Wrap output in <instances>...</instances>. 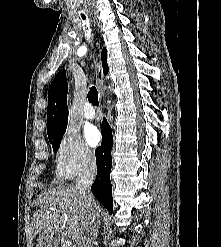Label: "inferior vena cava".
<instances>
[{"label":"inferior vena cava","instance_id":"1","mask_svg":"<svg viewBox=\"0 0 221 247\" xmlns=\"http://www.w3.org/2000/svg\"><path fill=\"white\" fill-rule=\"evenodd\" d=\"M96 175V164L89 160L79 172L76 179V189L87 211L88 220L83 235L78 240L79 247H92L97 236L99 213L97 203L91 193V185Z\"/></svg>","mask_w":221,"mask_h":247}]
</instances>
